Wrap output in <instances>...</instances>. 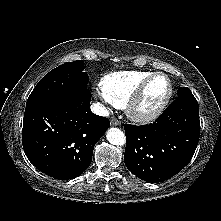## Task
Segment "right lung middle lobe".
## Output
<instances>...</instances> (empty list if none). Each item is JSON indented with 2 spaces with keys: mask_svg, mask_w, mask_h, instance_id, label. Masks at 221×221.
I'll return each instance as SVG.
<instances>
[{
  "mask_svg": "<svg viewBox=\"0 0 221 221\" xmlns=\"http://www.w3.org/2000/svg\"><path fill=\"white\" fill-rule=\"evenodd\" d=\"M82 60L68 62L47 73L31 92L27 105L50 99H70L86 90L89 77Z\"/></svg>",
  "mask_w": 221,
  "mask_h": 221,
  "instance_id": "right-lung-middle-lobe-1",
  "label": "right lung middle lobe"
}]
</instances>
